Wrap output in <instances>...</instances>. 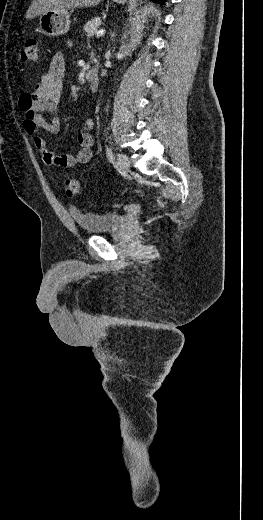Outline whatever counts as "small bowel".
I'll return each mask as SVG.
<instances>
[{
	"label": "small bowel",
	"instance_id": "small-bowel-1",
	"mask_svg": "<svg viewBox=\"0 0 263 520\" xmlns=\"http://www.w3.org/2000/svg\"><path fill=\"white\" fill-rule=\"evenodd\" d=\"M65 66V55L62 52L56 53L50 62L49 69L42 75L40 81L30 92L20 96L19 107L24 114V131L32 138L43 162L47 165L72 168L78 164L88 163L93 157L91 134L94 127L93 120L84 121L78 135L81 148L76 154H54L48 149L46 140L39 135L40 129L52 134L59 131L56 111L62 95ZM46 114H50L52 117L47 119Z\"/></svg>",
	"mask_w": 263,
	"mask_h": 520
}]
</instances>
